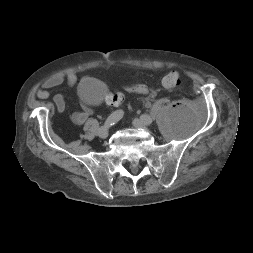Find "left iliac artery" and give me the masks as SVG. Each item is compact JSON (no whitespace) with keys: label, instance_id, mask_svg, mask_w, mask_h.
Wrapping results in <instances>:
<instances>
[{"label":"left iliac artery","instance_id":"44dca946","mask_svg":"<svg viewBox=\"0 0 253 253\" xmlns=\"http://www.w3.org/2000/svg\"><path fill=\"white\" fill-rule=\"evenodd\" d=\"M150 118V116L149 115H146V114H144V115H141V120H143L144 122H146L147 124H152L151 122H148V119Z\"/></svg>","mask_w":253,"mask_h":253}]
</instances>
